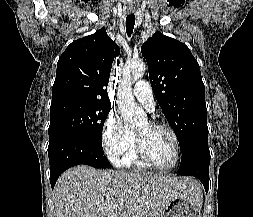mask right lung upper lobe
<instances>
[{"instance_id":"cb5924a9","label":"right lung upper lobe","mask_w":253,"mask_h":217,"mask_svg":"<svg viewBox=\"0 0 253 217\" xmlns=\"http://www.w3.org/2000/svg\"><path fill=\"white\" fill-rule=\"evenodd\" d=\"M119 52L104 27L72 42L57 63L52 103L85 100L111 104L106 87Z\"/></svg>"}]
</instances>
